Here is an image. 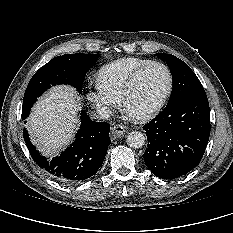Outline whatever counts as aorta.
Wrapping results in <instances>:
<instances>
[{"label":"aorta","instance_id":"obj_1","mask_svg":"<svg viewBox=\"0 0 233 233\" xmlns=\"http://www.w3.org/2000/svg\"><path fill=\"white\" fill-rule=\"evenodd\" d=\"M127 145L131 148L139 149L145 145L146 136L139 131H131L126 136Z\"/></svg>","mask_w":233,"mask_h":233}]
</instances>
